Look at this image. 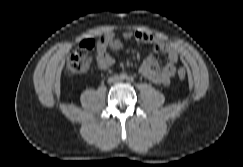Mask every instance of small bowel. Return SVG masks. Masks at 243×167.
I'll return each mask as SVG.
<instances>
[{
    "instance_id": "obj_1",
    "label": "small bowel",
    "mask_w": 243,
    "mask_h": 167,
    "mask_svg": "<svg viewBox=\"0 0 243 167\" xmlns=\"http://www.w3.org/2000/svg\"><path fill=\"white\" fill-rule=\"evenodd\" d=\"M124 39L135 38L142 44L152 46L154 51H160L166 54L167 61L160 65L158 61L150 54L144 59L140 66L142 76L160 85H168L171 78L175 75L178 65V53L174 46L162 40L155 38L153 35L143 31H125L121 35ZM123 43L120 37L114 32H107L99 41L96 51V64L101 70H108L113 65V58L109 55L108 50H120Z\"/></svg>"
}]
</instances>
